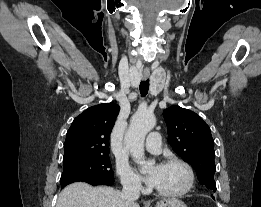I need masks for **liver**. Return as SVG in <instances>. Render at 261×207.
<instances>
[{
  "label": "liver",
  "mask_w": 261,
  "mask_h": 207,
  "mask_svg": "<svg viewBox=\"0 0 261 207\" xmlns=\"http://www.w3.org/2000/svg\"><path fill=\"white\" fill-rule=\"evenodd\" d=\"M56 207H140L135 201H125L121 192L106 186L92 187L84 182L66 186Z\"/></svg>",
  "instance_id": "1"
}]
</instances>
